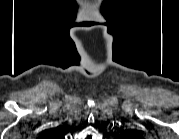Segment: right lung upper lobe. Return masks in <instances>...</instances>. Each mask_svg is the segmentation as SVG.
Returning <instances> with one entry per match:
<instances>
[{
  "label": "right lung upper lobe",
  "instance_id": "obj_1",
  "mask_svg": "<svg viewBox=\"0 0 179 139\" xmlns=\"http://www.w3.org/2000/svg\"><path fill=\"white\" fill-rule=\"evenodd\" d=\"M46 135H56V132L53 131V130H51V131H49Z\"/></svg>",
  "mask_w": 179,
  "mask_h": 139
}]
</instances>
